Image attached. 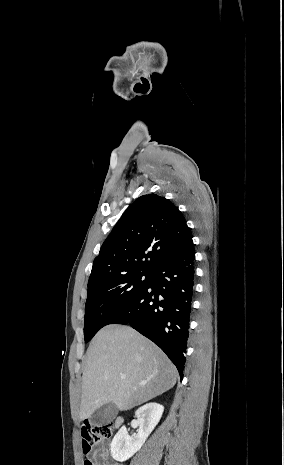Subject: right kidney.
Here are the masks:
<instances>
[{"mask_svg":"<svg viewBox=\"0 0 284 465\" xmlns=\"http://www.w3.org/2000/svg\"><path fill=\"white\" fill-rule=\"evenodd\" d=\"M163 411L164 407L158 405V403H147V405L140 407L135 413L139 425L137 435L129 437L126 427H121L111 443V455L113 459L123 463V461H127L130 457H133L144 445L147 437H149L156 425H158Z\"/></svg>","mask_w":284,"mask_h":465,"instance_id":"1","label":"right kidney"}]
</instances>
